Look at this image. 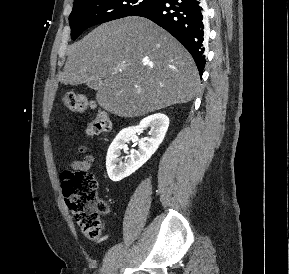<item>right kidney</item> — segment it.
<instances>
[{
    "mask_svg": "<svg viewBox=\"0 0 289 274\" xmlns=\"http://www.w3.org/2000/svg\"><path fill=\"white\" fill-rule=\"evenodd\" d=\"M169 127V118L156 113L143 118L138 125L124 128L111 143L106 157V169L112 181H120L145 164L162 143ZM150 128L149 136L138 142V150H132L125 163H120L121 151L126 150V143L136 133Z\"/></svg>",
    "mask_w": 289,
    "mask_h": 274,
    "instance_id": "ca27d5eb",
    "label": "right kidney"
}]
</instances>
